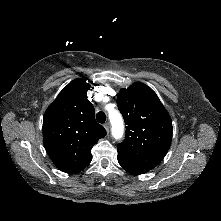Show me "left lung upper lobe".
I'll list each match as a JSON object with an SVG mask.
<instances>
[{
	"label": "left lung upper lobe",
	"mask_w": 221,
	"mask_h": 221,
	"mask_svg": "<svg viewBox=\"0 0 221 221\" xmlns=\"http://www.w3.org/2000/svg\"><path fill=\"white\" fill-rule=\"evenodd\" d=\"M117 104L127 125L125 140L117 145L118 153L153 169L171 144L172 121L168 112L156 93L143 83L122 89Z\"/></svg>",
	"instance_id": "obj_1"
}]
</instances>
